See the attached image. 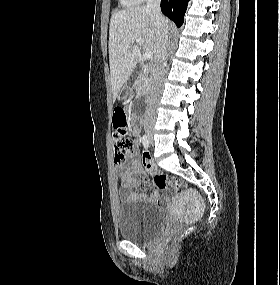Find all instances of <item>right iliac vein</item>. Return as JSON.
I'll use <instances>...</instances> for the list:
<instances>
[{
    "label": "right iliac vein",
    "instance_id": "right-iliac-vein-1",
    "mask_svg": "<svg viewBox=\"0 0 280 285\" xmlns=\"http://www.w3.org/2000/svg\"><path fill=\"white\" fill-rule=\"evenodd\" d=\"M148 136H149V137H151V136H152V133H151V132H149V133H148Z\"/></svg>",
    "mask_w": 280,
    "mask_h": 285
}]
</instances>
